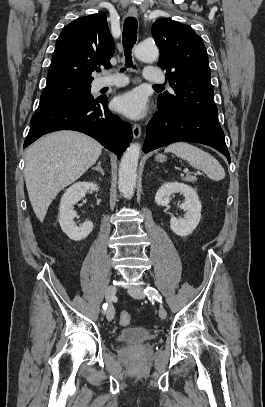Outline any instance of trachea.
Returning <instances> with one entry per match:
<instances>
[{
	"instance_id": "1",
	"label": "trachea",
	"mask_w": 265,
	"mask_h": 407,
	"mask_svg": "<svg viewBox=\"0 0 265 407\" xmlns=\"http://www.w3.org/2000/svg\"><path fill=\"white\" fill-rule=\"evenodd\" d=\"M137 29H138V22L134 17H128L124 21L123 26V48L125 52L126 63L131 66L132 65V56L131 50L136 43L137 40ZM124 69H122L123 71ZM158 87H162V85H155Z\"/></svg>"
}]
</instances>
